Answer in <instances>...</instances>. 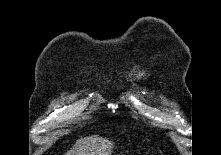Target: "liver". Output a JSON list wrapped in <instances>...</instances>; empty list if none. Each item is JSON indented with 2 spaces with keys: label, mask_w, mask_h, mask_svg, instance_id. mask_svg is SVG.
<instances>
[{
  "label": "liver",
  "mask_w": 221,
  "mask_h": 155,
  "mask_svg": "<svg viewBox=\"0 0 221 155\" xmlns=\"http://www.w3.org/2000/svg\"><path fill=\"white\" fill-rule=\"evenodd\" d=\"M114 144L98 135L80 138L66 155H111Z\"/></svg>",
  "instance_id": "obj_1"
}]
</instances>
